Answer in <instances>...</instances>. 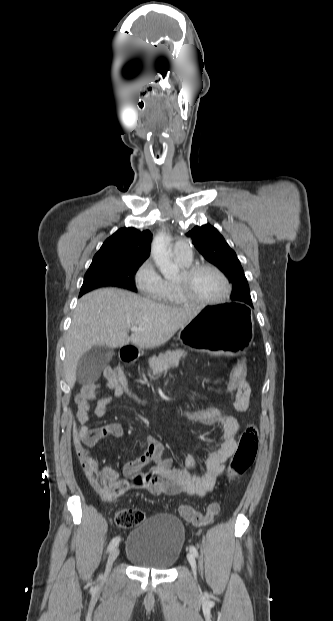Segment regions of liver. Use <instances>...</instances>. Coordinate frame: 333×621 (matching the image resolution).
<instances>
[{
	"mask_svg": "<svg viewBox=\"0 0 333 621\" xmlns=\"http://www.w3.org/2000/svg\"><path fill=\"white\" fill-rule=\"evenodd\" d=\"M197 314L116 288L84 295L78 301L66 338L64 374L68 387L75 385L79 360L94 346L117 348L131 342L145 349L159 347ZM132 326L145 330L129 336Z\"/></svg>",
	"mask_w": 333,
	"mask_h": 621,
	"instance_id": "1",
	"label": "liver"
}]
</instances>
